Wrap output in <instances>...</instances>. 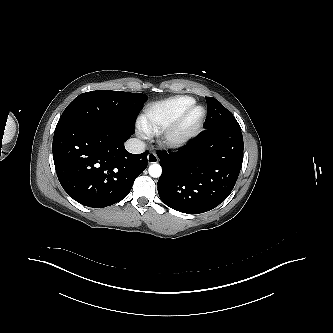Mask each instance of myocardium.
<instances>
[{
	"label": "myocardium",
	"instance_id": "1",
	"mask_svg": "<svg viewBox=\"0 0 333 333\" xmlns=\"http://www.w3.org/2000/svg\"><path fill=\"white\" fill-rule=\"evenodd\" d=\"M196 110L200 113L194 117ZM206 115L205 107L195 102L191 104L165 131L162 137L163 145L178 148L187 144L204 123Z\"/></svg>",
	"mask_w": 333,
	"mask_h": 333
}]
</instances>
